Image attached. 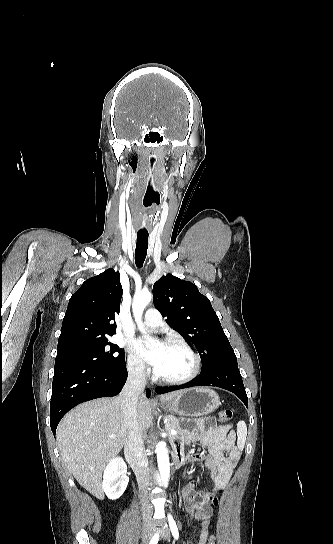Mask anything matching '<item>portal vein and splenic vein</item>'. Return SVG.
<instances>
[{
    "label": "portal vein and splenic vein",
    "mask_w": 333,
    "mask_h": 544,
    "mask_svg": "<svg viewBox=\"0 0 333 544\" xmlns=\"http://www.w3.org/2000/svg\"><path fill=\"white\" fill-rule=\"evenodd\" d=\"M170 433H171L172 435H175L177 432H176V430H171ZM110 437H111V438H114L115 435H111Z\"/></svg>",
    "instance_id": "1"
}]
</instances>
